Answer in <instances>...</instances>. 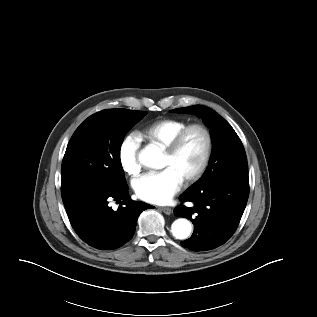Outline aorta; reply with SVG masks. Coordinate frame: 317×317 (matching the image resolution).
Segmentation results:
<instances>
[{
  "label": "aorta",
  "mask_w": 317,
  "mask_h": 317,
  "mask_svg": "<svg viewBox=\"0 0 317 317\" xmlns=\"http://www.w3.org/2000/svg\"><path fill=\"white\" fill-rule=\"evenodd\" d=\"M162 150L154 145H147L139 154V162L152 169H159V161L162 158ZM192 231V225L189 220L185 218H179L175 220L171 225V232L176 239L184 240L190 236Z\"/></svg>",
  "instance_id": "762f6f07"
}]
</instances>
